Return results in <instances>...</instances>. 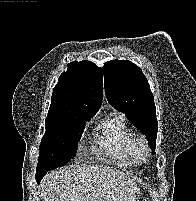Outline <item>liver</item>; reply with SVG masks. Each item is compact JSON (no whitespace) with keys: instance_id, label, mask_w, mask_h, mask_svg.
Instances as JSON below:
<instances>
[{"instance_id":"1","label":"liver","mask_w":196,"mask_h":201,"mask_svg":"<svg viewBox=\"0 0 196 201\" xmlns=\"http://www.w3.org/2000/svg\"><path fill=\"white\" fill-rule=\"evenodd\" d=\"M39 187L43 201H129L138 192L130 177L104 165L54 170Z\"/></svg>"}]
</instances>
